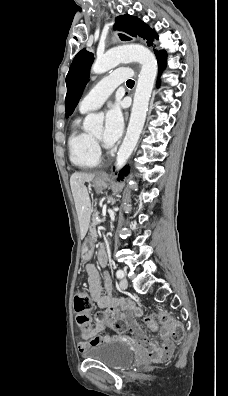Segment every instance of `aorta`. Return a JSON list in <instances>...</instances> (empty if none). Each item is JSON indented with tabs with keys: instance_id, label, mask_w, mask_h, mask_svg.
Here are the masks:
<instances>
[{
	"instance_id": "aorta-1",
	"label": "aorta",
	"mask_w": 228,
	"mask_h": 396,
	"mask_svg": "<svg viewBox=\"0 0 228 396\" xmlns=\"http://www.w3.org/2000/svg\"><path fill=\"white\" fill-rule=\"evenodd\" d=\"M125 62H138L142 65V68L136 86L126 136L117 153V170L126 163L139 140L158 69L156 58L149 49L140 45H129L111 49L103 56L98 57L91 70L95 74H102ZM102 125L103 117L91 113L86 116L83 128L86 131H96L101 129Z\"/></svg>"
}]
</instances>
